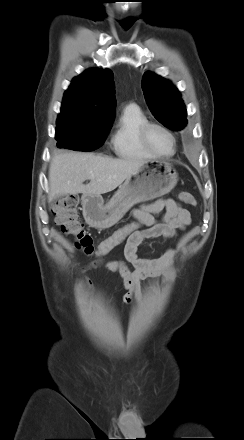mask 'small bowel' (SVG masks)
I'll use <instances>...</instances> for the list:
<instances>
[{"instance_id":"c3829d8e","label":"small bowel","mask_w":244,"mask_h":440,"mask_svg":"<svg viewBox=\"0 0 244 440\" xmlns=\"http://www.w3.org/2000/svg\"><path fill=\"white\" fill-rule=\"evenodd\" d=\"M157 214H161L160 219L155 217ZM133 215L135 219L144 221L146 227L132 234L126 240L124 247V256L134 266L135 271H128L121 262L117 267L109 269L119 272L126 289L124 301L128 304L139 301L141 281L166 273L176 254L174 249H169L156 259L139 258L137 255L138 246L145 239L173 238L178 230H183L191 222L189 211L172 199L157 200L142 206L134 210ZM88 284L92 285L91 280H88Z\"/></svg>"}]
</instances>
